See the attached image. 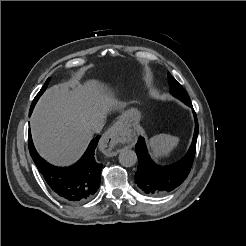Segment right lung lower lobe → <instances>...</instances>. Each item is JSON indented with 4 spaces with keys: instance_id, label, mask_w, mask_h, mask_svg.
<instances>
[{
    "instance_id": "98d812e1",
    "label": "right lung lower lobe",
    "mask_w": 246,
    "mask_h": 246,
    "mask_svg": "<svg viewBox=\"0 0 246 246\" xmlns=\"http://www.w3.org/2000/svg\"><path fill=\"white\" fill-rule=\"evenodd\" d=\"M33 108L31 106L29 115H31ZM99 138L100 136H97L91 141L86 152L77 163L63 168L47 163L37 153L29 129L28 147L30 155L49 187L61 200L69 203L83 202L98 190L102 164L96 162L94 151Z\"/></svg>"
}]
</instances>
